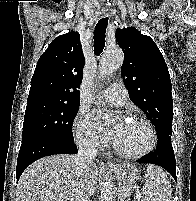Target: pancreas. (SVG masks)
I'll use <instances>...</instances> for the list:
<instances>
[{
  "label": "pancreas",
  "instance_id": "pancreas-1",
  "mask_svg": "<svg viewBox=\"0 0 196 201\" xmlns=\"http://www.w3.org/2000/svg\"><path fill=\"white\" fill-rule=\"evenodd\" d=\"M129 198H130V193L129 191H122L120 194H119V201H129Z\"/></svg>",
  "mask_w": 196,
  "mask_h": 201
}]
</instances>
